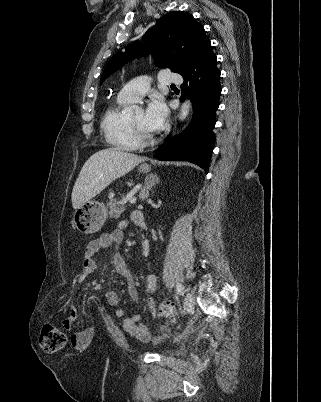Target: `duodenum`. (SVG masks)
<instances>
[{
  "mask_svg": "<svg viewBox=\"0 0 321 402\" xmlns=\"http://www.w3.org/2000/svg\"><path fill=\"white\" fill-rule=\"evenodd\" d=\"M135 220L137 223H140V224L144 222V216L140 211H136Z\"/></svg>",
  "mask_w": 321,
  "mask_h": 402,
  "instance_id": "duodenum-1",
  "label": "duodenum"
}]
</instances>
